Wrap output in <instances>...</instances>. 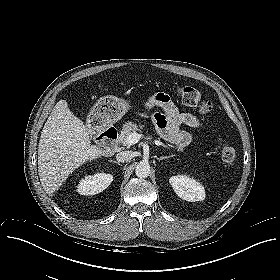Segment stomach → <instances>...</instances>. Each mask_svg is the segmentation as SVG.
Masks as SVG:
<instances>
[{
  "instance_id": "obj_1",
  "label": "stomach",
  "mask_w": 280,
  "mask_h": 280,
  "mask_svg": "<svg viewBox=\"0 0 280 280\" xmlns=\"http://www.w3.org/2000/svg\"><path fill=\"white\" fill-rule=\"evenodd\" d=\"M130 100H125L115 96H105L98 100L96 110L108 124L120 120L130 109Z\"/></svg>"
}]
</instances>
